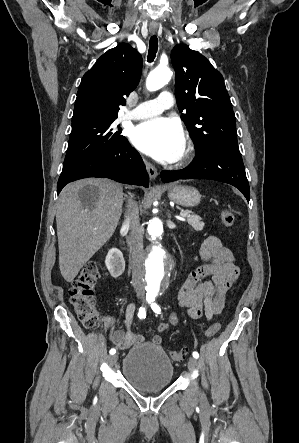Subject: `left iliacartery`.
<instances>
[{
    "instance_id": "obj_1",
    "label": "left iliac artery",
    "mask_w": 299,
    "mask_h": 443,
    "mask_svg": "<svg viewBox=\"0 0 299 443\" xmlns=\"http://www.w3.org/2000/svg\"><path fill=\"white\" fill-rule=\"evenodd\" d=\"M149 303L151 304V308H152V310H153L155 313H157V314H160V313H161V308H160V306L155 302V299H151V300L149 301ZM192 355H193V357H194L195 359H198V358H199V354H198L197 351H194V352L192 353Z\"/></svg>"
}]
</instances>
